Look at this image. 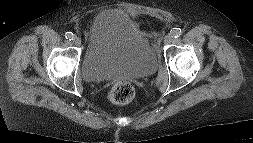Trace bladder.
I'll use <instances>...</instances> for the list:
<instances>
[{"label": "bladder", "instance_id": "bladder-1", "mask_svg": "<svg viewBox=\"0 0 253 143\" xmlns=\"http://www.w3.org/2000/svg\"><path fill=\"white\" fill-rule=\"evenodd\" d=\"M157 59L148 40L122 10L98 14L90 27L82 72L91 82L151 75Z\"/></svg>", "mask_w": 253, "mask_h": 143}]
</instances>
